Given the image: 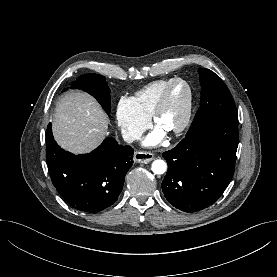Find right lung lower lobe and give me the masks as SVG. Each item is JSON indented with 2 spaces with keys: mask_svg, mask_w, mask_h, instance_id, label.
<instances>
[{
  "mask_svg": "<svg viewBox=\"0 0 277 277\" xmlns=\"http://www.w3.org/2000/svg\"><path fill=\"white\" fill-rule=\"evenodd\" d=\"M133 153V148L109 137L89 154L76 156L61 149L51 124L47 127L46 156L53 185L69 205L86 213H98L118 199Z\"/></svg>",
  "mask_w": 277,
  "mask_h": 277,
  "instance_id": "1",
  "label": "right lung lower lobe"
}]
</instances>
